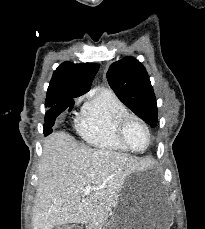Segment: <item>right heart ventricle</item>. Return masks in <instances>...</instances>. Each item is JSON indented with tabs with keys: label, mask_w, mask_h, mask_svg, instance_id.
<instances>
[{
	"label": "right heart ventricle",
	"mask_w": 205,
	"mask_h": 229,
	"mask_svg": "<svg viewBox=\"0 0 205 229\" xmlns=\"http://www.w3.org/2000/svg\"><path fill=\"white\" fill-rule=\"evenodd\" d=\"M129 113L126 105L110 90L94 92L77 120L80 136L90 145L110 150L129 151L118 137L120 119Z\"/></svg>",
	"instance_id": "obj_1"
}]
</instances>
